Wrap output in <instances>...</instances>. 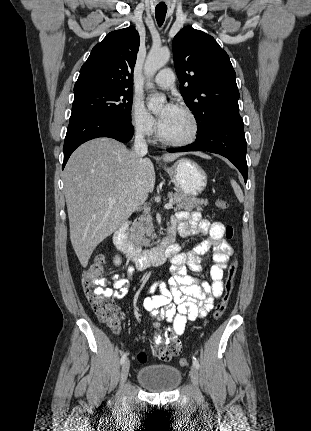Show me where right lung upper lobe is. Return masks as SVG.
<instances>
[{
	"label": "right lung upper lobe",
	"instance_id": "1",
	"mask_svg": "<svg viewBox=\"0 0 311 431\" xmlns=\"http://www.w3.org/2000/svg\"><path fill=\"white\" fill-rule=\"evenodd\" d=\"M140 38L134 27L112 31L94 46L80 70L74 91L132 90Z\"/></svg>",
	"mask_w": 311,
	"mask_h": 431
}]
</instances>
